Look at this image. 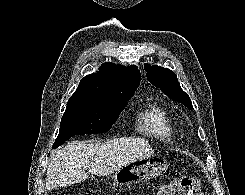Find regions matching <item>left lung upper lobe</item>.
Instances as JSON below:
<instances>
[{
    "label": "left lung upper lobe",
    "mask_w": 245,
    "mask_h": 195,
    "mask_svg": "<svg viewBox=\"0 0 245 195\" xmlns=\"http://www.w3.org/2000/svg\"><path fill=\"white\" fill-rule=\"evenodd\" d=\"M144 69L147 71L148 80L156 87L160 88L171 99L181 102L189 109H192V103L189 96L182 90L176 74L157 65L150 66L145 64Z\"/></svg>",
    "instance_id": "5c2ea615"
}]
</instances>
